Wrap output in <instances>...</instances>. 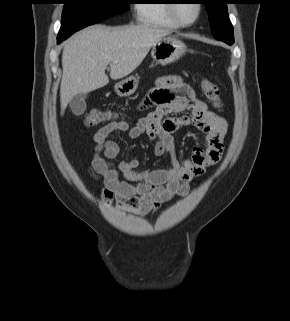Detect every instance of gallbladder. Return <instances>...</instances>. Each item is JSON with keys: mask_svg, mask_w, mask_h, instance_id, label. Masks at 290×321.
<instances>
[{"mask_svg": "<svg viewBox=\"0 0 290 321\" xmlns=\"http://www.w3.org/2000/svg\"><path fill=\"white\" fill-rule=\"evenodd\" d=\"M87 95L84 93L75 95L69 102L70 108L74 115L80 116L84 113L86 109V99Z\"/></svg>", "mask_w": 290, "mask_h": 321, "instance_id": "gallbladder-1", "label": "gallbladder"}]
</instances>
